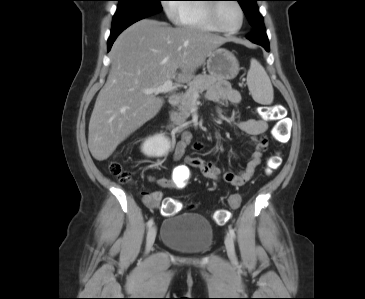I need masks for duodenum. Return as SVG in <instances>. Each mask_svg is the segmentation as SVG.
Instances as JSON below:
<instances>
[{"instance_id": "duodenum-1", "label": "duodenum", "mask_w": 365, "mask_h": 299, "mask_svg": "<svg viewBox=\"0 0 365 299\" xmlns=\"http://www.w3.org/2000/svg\"><path fill=\"white\" fill-rule=\"evenodd\" d=\"M180 98H181V93H173L169 96L168 98V103L171 105V106H176L178 105L179 101H180ZM171 126H176L175 124L173 123H170Z\"/></svg>"}]
</instances>
